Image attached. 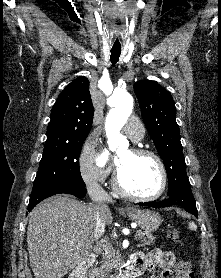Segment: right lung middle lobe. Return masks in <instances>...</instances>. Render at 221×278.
Instances as JSON below:
<instances>
[{"label": "right lung middle lobe", "mask_w": 221, "mask_h": 278, "mask_svg": "<svg viewBox=\"0 0 221 278\" xmlns=\"http://www.w3.org/2000/svg\"><path fill=\"white\" fill-rule=\"evenodd\" d=\"M86 137L45 143L31 194L64 180L84 184L79 168V156Z\"/></svg>", "instance_id": "right-lung-middle-lobe-1"}]
</instances>
